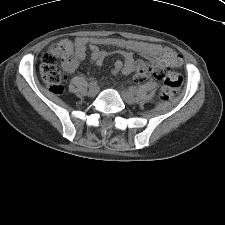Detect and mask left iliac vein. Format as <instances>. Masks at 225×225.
I'll use <instances>...</instances> for the list:
<instances>
[{
	"instance_id": "left-iliac-vein-1",
	"label": "left iliac vein",
	"mask_w": 225,
	"mask_h": 225,
	"mask_svg": "<svg viewBox=\"0 0 225 225\" xmlns=\"http://www.w3.org/2000/svg\"><path fill=\"white\" fill-rule=\"evenodd\" d=\"M122 98L123 100L127 103V104H135L136 103V99L135 97L126 89L122 90Z\"/></svg>"
}]
</instances>
